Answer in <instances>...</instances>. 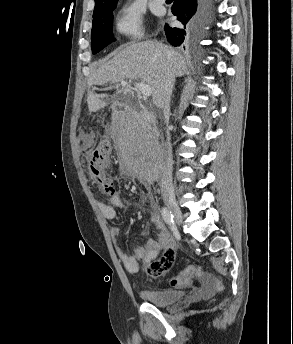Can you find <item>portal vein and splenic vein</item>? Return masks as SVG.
Wrapping results in <instances>:
<instances>
[{
    "label": "portal vein and splenic vein",
    "instance_id": "18ae733b",
    "mask_svg": "<svg viewBox=\"0 0 293 344\" xmlns=\"http://www.w3.org/2000/svg\"><path fill=\"white\" fill-rule=\"evenodd\" d=\"M129 84H130V82H127V81L121 82L122 87H125ZM134 87L141 92V94L143 95L144 98L149 97L152 93V89L148 84L138 82V83H134Z\"/></svg>",
    "mask_w": 293,
    "mask_h": 344
}]
</instances>
